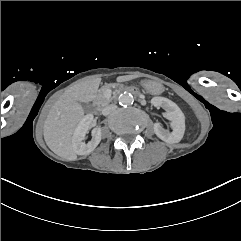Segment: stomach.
Listing matches in <instances>:
<instances>
[{
	"label": "stomach",
	"mask_w": 241,
	"mask_h": 241,
	"mask_svg": "<svg viewBox=\"0 0 241 241\" xmlns=\"http://www.w3.org/2000/svg\"><path fill=\"white\" fill-rule=\"evenodd\" d=\"M143 86L151 94H161L164 91L163 85L157 81H144Z\"/></svg>",
	"instance_id": "1"
}]
</instances>
